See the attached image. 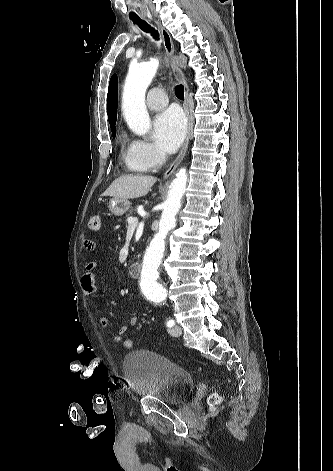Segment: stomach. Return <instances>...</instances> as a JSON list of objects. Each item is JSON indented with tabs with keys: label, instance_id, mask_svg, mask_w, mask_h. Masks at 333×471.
<instances>
[{
	"label": "stomach",
	"instance_id": "1",
	"mask_svg": "<svg viewBox=\"0 0 333 471\" xmlns=\"http://www.w3.org/2000/svg\"><path fill=\"white\" fill-rule=\"evenodd\" d=\"M131 203L128 199L111 198L108 203L109 211L115 216L123 215L129 208Z\"/></svg>",
	"mask_w": 333,
	"mask_h": 471
}]
</instances>
